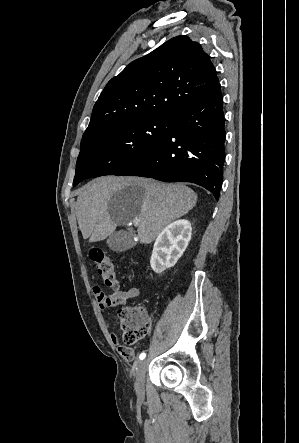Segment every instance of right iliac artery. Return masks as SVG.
I'll return each mask as SVG.
<instances>
[{
    "instance_id": "1",
    "label": "right iliac artery",
    "mask_w": 299,
    "mask_h": 443,
    "mask_svg": "<svg viewBox=\"0 0 299 443\" xmlns=\"http://www.w3.org/2000/svg\"><path fill=\"white\" fill-rule=\"evenodd\" d=\"M145 357H146V353L143 352L140 354L139 359L143 360Z\"/></svg>"
}]
</instances>
